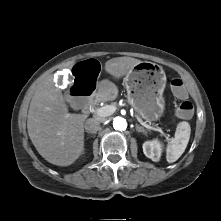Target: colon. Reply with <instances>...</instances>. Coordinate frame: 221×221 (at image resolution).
<instances>
[{
	"mask_svg": "<svg viewBox=\"0 0 221 221\" xmlns=\"http://www.w3.org/2000/svg\"><path fill=\"white\" fill-rule=\"evenodd\" d=\"M101 73L100 64L93 59H88L76 65L72 73L73 84L67 90L72 108L81 110L93 99V89L98 83ZM171 90L176 97L186 99L187 89L181 79L175 78L171 81ZM193 112V105L187 100H183L176 111L177 115L184 119L190 118Z\"/></svg>",
	"mask_w": 221,
	"mask_h": 221,
	"instance_id": "colon-1",
	"label": "colon"
}]
</instances>
